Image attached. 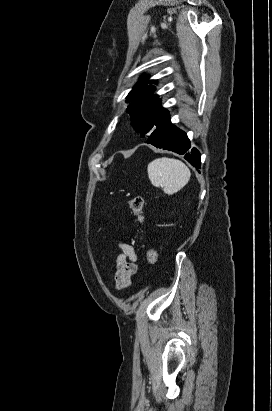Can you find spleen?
Returning a JSON list of instances; mask_svg holds the SVG:
<instances>
[{"instance_id": "1", "label": "spleen", "mask_w": 272, "mask_h": 411, "mask_svg": "<svg viewBox=\"0 0 272 411\" xmlns=\"http://www.w3.org/2000/svg\"><path fill=\"white\" fill-rule=\"evenodd\" d=\"M147 172L152 185L162 187L168 195L181 190L191 176L189 168L182 161L167 157L150 162Z\"/></svg>"}]
</instances>
